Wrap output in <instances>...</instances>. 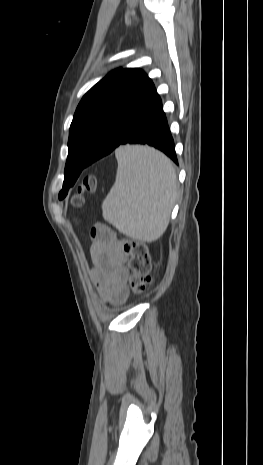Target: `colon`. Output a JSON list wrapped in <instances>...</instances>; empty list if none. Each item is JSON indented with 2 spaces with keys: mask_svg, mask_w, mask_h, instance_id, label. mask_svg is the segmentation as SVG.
Instances as JSON below:
<instances>
[{
  "mask_svg": "<svg viewBox=\"0 0 263 465\" xmlns=\"http://www.w3.org/2000/svg\"><path fill=\"white\" fill-rule=\"evenodd\" d=\"M97 187L98 179L95 175L85 176L72 199V203L75 206H82L84 195L95 192ZM122 253L129 259L128 266L131 271L129 286L132 292L143 294L151 279V259L147 246L137 240H126L122 246Z\"/></svg>",
  "mask_w": 263,
  "mask_h": 465,
  "instance_id": "1",
  "label": "colon"
}]
</instances>
